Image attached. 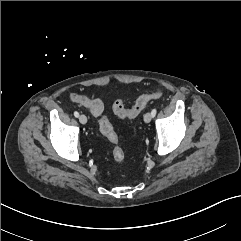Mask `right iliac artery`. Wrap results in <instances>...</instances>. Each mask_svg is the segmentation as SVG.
<instances>
[{
    "mask_svg": "<svg viewBox=\"0 0 241 241\" xmlns=\"http://www.w3.org/2000/svg\"><path fill=\"white\" fill-rule=\"evenodd\" d=\"M74 116H75L76 118H78V117H79V113H78L77 111H75V112H74Z\"/></svg>",
    "mask_w": 241,
    "mask_h": 241,
    "instance_id": "1",
    "label": "right iliac artery"
}]
</instances>
